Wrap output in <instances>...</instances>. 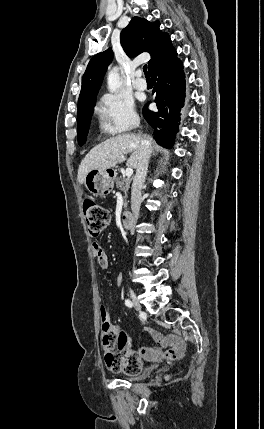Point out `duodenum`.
<instances>
[{
  "mask_svg": "<svg viewBox=\"0 0 264 429\" xmlns=\"http://www.w3.org/2000/svg\"><path fill=\"white\" fill-rule=\"evenodd\" d=\"M134 217L133 213L130 211H124L121 214V222L124 227L129 228L131 227V222L133 221L132 218Z\"/></svg>",
  "mask_w": 264,
  "mask_h": 429,
  "instance_id": "obj_1",
  "label": "duodenum"
}]
</instances>
